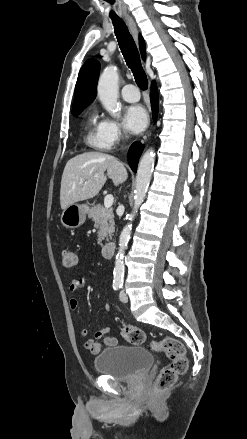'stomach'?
<instances>
[{"label":"stomach","instance_id":"obj_1","mask_svg":"<svg viewBox=\"0 0 247 439\" xmlns=\"http://www.w3.org/2000/svg\"><path fill=\"white\" fill-rule=\"evenodd\" d=\"M87 211L88 206L85 204H71L63 210L61 223L66 228H78L85 222Z\"/></svg>","mask_w":247,"mask_h":439}]
</instances>
